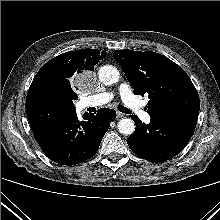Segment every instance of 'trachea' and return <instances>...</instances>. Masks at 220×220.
Masks as SVG:
<instances>
[{
	"label": "trachea",
	"mask_w": 220,
	"mask_h": 220,
	"mask_svg": "<svg viewBox=\"0 0 220 220\" xmlns=\"http://www.w3.org/2000/svg\"><path fill=\"white\" fill-rule=\"evenodd\" d=\"M118 110L121 111L122 113H125V114H130V110L127 109L126 107H124L123 105H119L118 106Z\"/></svg>",
	"instance_id": "trachea-1"
}]
</instances>
